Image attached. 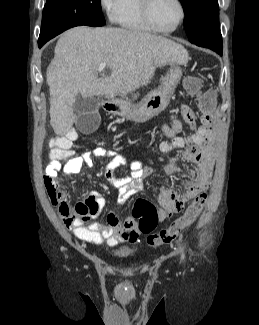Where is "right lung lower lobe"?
<instances>
[{
    "label": "right lung lower lobe",
    "mask_w": 259,
    "mask_h": 325,
    "mask_svg": "<svg viewBox=\"0 0 259 325\" xmlns=\"http://www.w3.org/2000/svg\"><path fill=\"white\" fill-rule=\"evenodd\" d=\"M46 42H38L39 48H41Z\"/></svg>",
    "instance_id": "right-lung-lower-lobe-1"
}]
</instances>
